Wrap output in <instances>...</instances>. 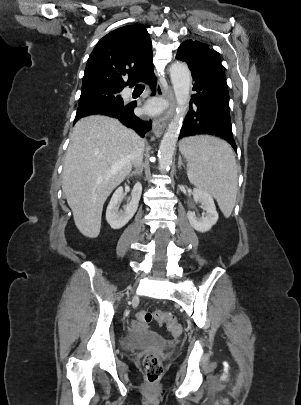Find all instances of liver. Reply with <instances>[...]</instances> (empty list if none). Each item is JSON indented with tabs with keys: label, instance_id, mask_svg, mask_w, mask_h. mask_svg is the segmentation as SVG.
Returning <instances> with one entry per match:
<instances>
[{
	"label": "liver",
	"instance_id": "liver-1",
	"mask_svg": "<svg viewBox=\"0 0 301 405\" xmlns=\"http://www.w3.org/2000/svg\"><path fill=\"white\" fill-rule=\"evenodd\" d=\"M137 137L119 120L107 116H88L75 124L65 156L62 189L83 235H99L103 205L129 175Z\"/></svg>",
	"mask_w": 301,
	"mask_h": 405
}]
</instances>
